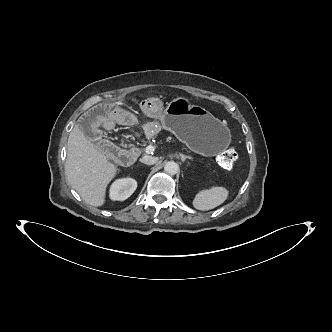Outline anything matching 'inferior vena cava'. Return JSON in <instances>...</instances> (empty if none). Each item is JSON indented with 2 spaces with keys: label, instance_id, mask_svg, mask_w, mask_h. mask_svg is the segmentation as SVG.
<instances>
[{
  "label": "inferior vena cava",
  "instance_id": "inferior-vena-cava-1",
  "mask_svg": "<svg viewBox=\"0 0 332 332\" xmlns=\"http://www.w3.org/2000/svg\"><path fill=\"white\" fill-rule=\"evenodd\" d=\"M142 162L146 165H153L158 162V157H153L149 155H145L142 158Z\"/></svg>",
  "mask_w": 332,
  "mask_h": 332
}]
</instances>
